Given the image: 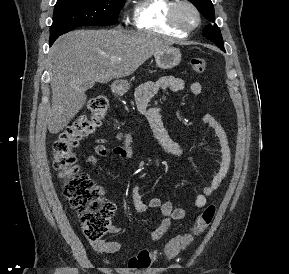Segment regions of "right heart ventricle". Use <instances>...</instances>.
I'll return each instance as SVG.
<instances>
[{
	"label": "right heart ventricle",
	"instance_id": "obj_1",
	"mask_svg": "<svg viewBox=\"0 0 289 274\" xmlns=\"http://www.w3.org/2000/svg\"><path fill=\"white\" fill-rule=\"evenodd\" d=\"M174 0H138L133 8V24L139 31L182 38L184 33L168 22V12Z\"/></svg>",
	"mask_w": 289,
	"mask_h": 274
}]
</instances>
